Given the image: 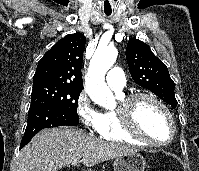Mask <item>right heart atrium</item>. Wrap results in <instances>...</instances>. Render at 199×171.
<instances>
[{"label": "right heart atrium", "mask_w": 199, "mask_h": 171, "mask_svg": "<svg viewBox=\"0 0 199 171\" xmlns=\"http://www.w3.org/2000/svg\"><path fill=\"white\" fill-rule=\"evenodd\" d=\"M76 110L79 119L88 130L99 132L102 125V113L94 106L84 91L77 97Z\"/></svg>", "instance_id": "obj_1"}]
</instances>
